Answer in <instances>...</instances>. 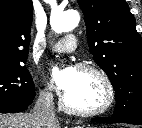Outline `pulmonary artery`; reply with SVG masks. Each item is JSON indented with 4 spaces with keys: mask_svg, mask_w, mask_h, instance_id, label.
<instances>
[{
    "mask_svg": "<svg viewBox=\"0 0 142 128\" xmlns=\"http://www.w3.org/2000/svg\"><path fill=\"white\" fill-rule=\"evenodd\" d=\"M76 47L77 39L75 35L68 34L52 48V51L57 53H69L73 52Z\"/></svg>",
    "mask_w": 142,
    "mask_h": 128,
    "instance_id": "obj_1",
    "label": "pulmonary artery"
}]
</instances>
